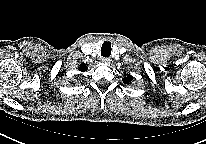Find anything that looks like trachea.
<instances>
[{
    "mask_svg": "<svg viewBox=\"0 0 206 144\" xmlns=\"http://www.w3.org/2000/svg\"><path fill=\"white\" fill-rule=\"evenodd\" d=\"M101 55L103 57H109L111 55V44L108 41H105L102 44Z\"/></svg>",
    "mask_w": 206,
    "mask_h": 144,
    "instance_id": "trachea-1",
    "label": "trachea"
}]
</instances>
